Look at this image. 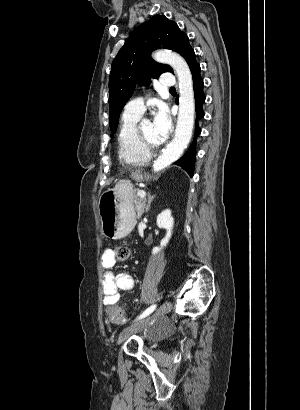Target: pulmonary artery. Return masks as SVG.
Masks as SVG:
<instances>
[{
	"label": "pulmonary artery",
	"mask_w": 300,
	"mask_h": 410,
	"mask_svg": "<svg viewBox=\"0 0 300 410\" xmlns=\"http://www.w3.org/2000/svg\"><path fill=\"white\" fill-rule=\"evenodd\" d=\"M160 84L163 87H174L175 78L168 73L161 74ZM144 110V101L141 97L130 100L125 106V111L127 112L142 114Z\"/></svg>",
	"instance_id": "1"
}]
</instances>
